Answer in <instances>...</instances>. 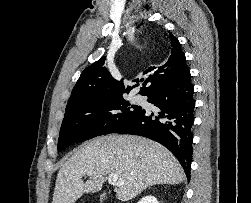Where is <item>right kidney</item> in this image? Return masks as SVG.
Listing matches in <instances>:
<instances>
[{
  "label": "right kidney",
  "instance_id": "obj_1",
  "mask_svg": "<svg viewBox=\"0 0 251 203\" xmlns=\"http://www.w3.org/2000/svg\"><path fill=\"white\" fill-rule=\"evenodd\" d=\"M138 203H159L158 200L154 196H145Z\"/></svg>",
  "mask_w": 251,
  "mask_h": 203
}]
</instances>
